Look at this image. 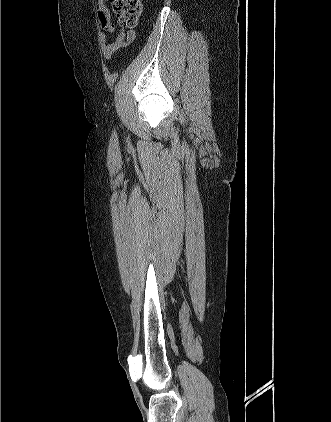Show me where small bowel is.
I'll return each mask as SVG.
<instances>
[{
  "mask_svg": "<svg viewBox=\"0 0 331 422\" xmlns=\"http://www.w3.org/2000/svg\"><path fill=\"white\" fill-rule=\"evenodd\" d=\"M106 1L107 0H99L98 17L102 30L99 36V44L105 59H111L117 51L133 39L134 32L120 29L115 40L111 42L107 41L108 34L115 32L116 27L110 22V12L106 6Z\"/></svg>",
  "mask_w": 331,
  "mask_h": 422,
  "instance_id": "c3829d8e",
  "label": "small bowel"
}]
</instances>
